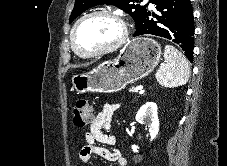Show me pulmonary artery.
<instances>
[{"label": "pulmonary artery", "mask_w": 227, "mask_h": 166, "mask_svg": "<svg viewBox=\"0 0 227 166\" xmlns=\"http://www.w3.org/2000/svg\"><path fill=\"white\" fill-rule=\"evenodd\" d=\"M145 1H147V2H148L149 0H145ZM149 7H150V8H154V4H153V3H151V2H149Z\"/></svg>", "instance_id": "obj_1"}]
</instances>
